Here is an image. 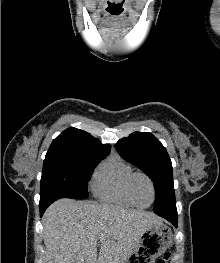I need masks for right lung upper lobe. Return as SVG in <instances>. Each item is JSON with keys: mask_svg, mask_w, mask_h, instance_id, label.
<instances>
[{"mask_svg": "<svg viewBox=\"0 0 220 263\" xmlns=\"http://www.w3.org/2000/svg\"><path fill=\"white\" fill-rule=\"evenodd\" d=\"M110 150V145L101 144L89 133L77 128H69L53 140L48 151H82L108 155Z\"/></svg>", "mask_w": 220, "mask_h": 263, "instance_id": "obj_1", "label": "right lung upper lobe"}]
</instances>
